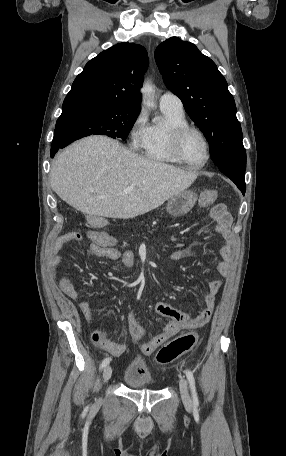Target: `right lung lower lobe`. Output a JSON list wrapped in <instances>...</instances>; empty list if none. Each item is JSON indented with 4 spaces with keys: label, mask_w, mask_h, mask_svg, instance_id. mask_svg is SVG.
Wrapping results in <instances>:
<instances>
[{
    "label": "right lung lower lobe",
    "mask_w": 286,
    "mask_h": 456,
    "mask_svg": "<svg viewBox=\"0 0 286 456\" xmlns=\"http://www.w3.org/2000/svg\"><path fill=\"white\" fill-rule=\"evenodd\" d=\"M59 148H62V147L60 145H58V144L52 143L51 157H54L55 153L58 151Z\"/></svg>",
    "instance_id": "obj_1"
}]
</instances>
